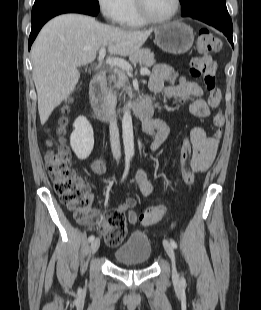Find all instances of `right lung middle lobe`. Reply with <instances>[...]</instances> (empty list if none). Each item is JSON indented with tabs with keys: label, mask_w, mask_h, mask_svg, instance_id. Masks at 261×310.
<instances>
[{
	"label": "right lung middle lobe",
	"mask_w": 261,
	"mask_h": 310,
	"mask_svg": "<svg viewBox=\"0 0 261 310\" xmlns=\"http://www.w3.org/2000/svg\"><path fill=\"white\" fill-rule=\"evenodd\" d=\"M55 4H73L89 7L97 12H99L98 0H35L34 6L32 8V13L50 5Z\"/></svg>",
	"instance_id": "right-lung-middle-lobe-1"
}]
</instances>
